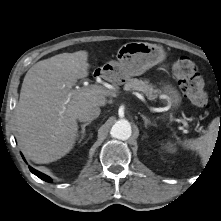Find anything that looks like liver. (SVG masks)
<instances>
[{
    "label": "liver",
    "instance_id": "obj_1",
    "mask_svg": "<svg viewBox=\"0 0 221 221\" xmlns=\"http://www.w3.org/2000/svg\"><path fill=\"white\" fill-rule=\"evenodd\" d=\"M88 69V52L80 50L41 60L26 73L15 121L19 145L33 162L46 164L69 153L77 138L79 112L88 105L105 106L104 94L73 89Z\"/></svg>",
    "mask_w": 221,
    "mask_h": 221
}]
</instances>
